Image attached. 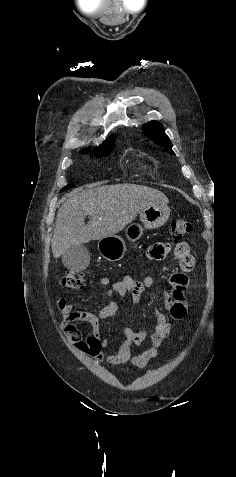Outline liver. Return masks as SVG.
<instances>
[{"mask_svg":"<svg viewBox=\"0 0 236 477\" xmlns=\"http://www.w3.org/2000/svg\"><path fill=\"white\" fill-rule=\"evenodd\" d=\"M153 204H168L159 190L135 185H104L75 190L60 207L56 216L51 248L59 258L72 245L113 236L130 224L145 208ZM90 221L86 225L85 217Z\"/></svg>","mask_w":236,"mask_h":477,"instance_id":"6515ba94","label":"liver"}]
</instances>
